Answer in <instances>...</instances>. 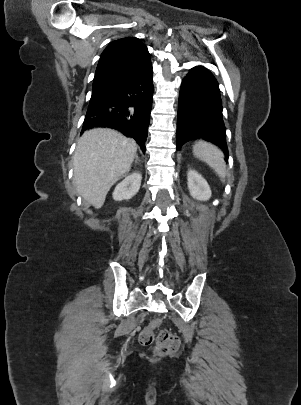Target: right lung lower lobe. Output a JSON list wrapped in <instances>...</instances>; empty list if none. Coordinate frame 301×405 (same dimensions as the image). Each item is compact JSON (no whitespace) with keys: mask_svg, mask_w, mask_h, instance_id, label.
<instances>
[{"mask_svg":"<svg viewBox=\"0 0 301 405\" xmlns=\"http://www.w3.org/2000/svg\"><path fill=\"white\" fill-rule=\"evenodd\" d=\"M153 91L152 64L148 60L106 99L88 107L82 132L94 127L113 128L134 138L145 152Z\"/></svg>","mask_w":301,"mask_h":405,"instance_id":"98d812e1","label":"right lung lower lobe"}]
</instances>
